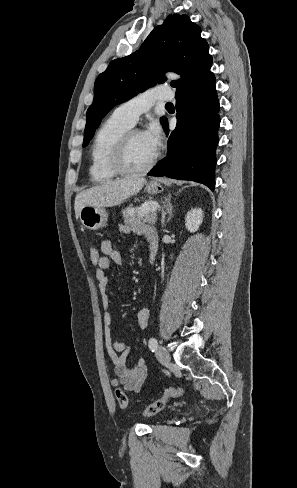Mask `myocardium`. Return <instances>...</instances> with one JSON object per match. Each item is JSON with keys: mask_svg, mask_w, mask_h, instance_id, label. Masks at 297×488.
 Returning a JSON list of instances; mask_svg holds the SVG:
<instances>
[{"mask_svg": "<svg viewBox=\"0 0 297 488\" xmlns=\"http://www.w3.org/2000/svg\"><path fill=\"white\" fill-rule=\"evenodd\" d=\"M138 132L140 131L137 129H129L128 131H126L120 137L113 149L110 164L113 171L116 172L118 175H136L146 173L153 168L158 160V154L156 153L151 161L143 167L131 168L127 165L126 157L128 146L132 136Z\"/></svg>", "mask_w": 297, "mask_h": 488, "instance_id": "f54148a6", "label": "myocardium"}]
</instances>
